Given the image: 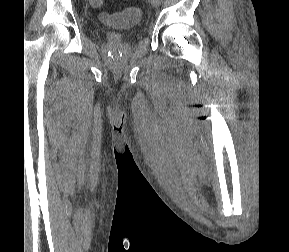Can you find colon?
I'll return each mask as SVG.
<instances>
[{"instance_id":"obj_1","label":"colon","mask_w":289,"mask_h":252,"mask_svg":"<svg viewBox=\"0 0 289 252\" xmlns=\"http://www.w3.org/2000/svg\"><path fill=\"white\" fill-rule=\"evenodd\" d=\"M94 7H101L103 0H91ZM141 17L140 10L136 7L130 6L123 10L122 13L104 14L103 20L108 24L116 27L129 26L137 22Z\"/></svg>"}]
</instances>
